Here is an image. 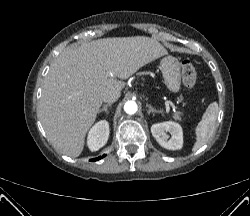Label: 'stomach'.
<instances>
[{
	"label": "stomach",
	"instance_id": "stomach-1",
	"mask_svg": "<svg viewBox=\"0 0 250 216\" xmlns=\"http://www.w3.org/2000/svg\"><path fill=\"white\" fill-rule=\"evenodd\" d=\"M160 70L167 88L171 92L177 93L181 87V66L179 61L172 56H166L160 62Z\"/></svg>",
	"mask_w": 250,
	"mask_h": 216
}]
</instances>
